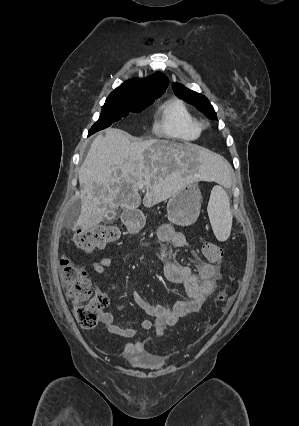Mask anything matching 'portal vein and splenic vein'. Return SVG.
<instances>
[{"mask_svg":"<svg viewBox=\"0 0 299 426\" xmlns=\"http://www.w3.org/2000/svg\"><path fill=\"white\" fill-rule=\"evenodd\" d=\"M144 186L143 185H140V188L142 189Z\"/></svg>","mask_w":299,"mask_h":426,"instance_id":"portal-vein-and-splenic-vein-1","label":"portal vein and splenic vein"}]
</instances>
